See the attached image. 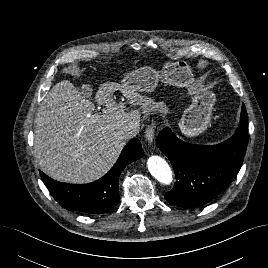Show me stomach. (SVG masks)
I'll return each instance as SVG.
<instances>
[{
  "mask_svg": "<svg viewBox=\"0 0 268 268\" xmlns=\"http://www.w3.org/2000/svg\"><path fill=\"white\" fill-rule=\"evenodd\" d=\"M160 79L166 85L186 88L191 97L192 104L183 111L179 121L182 133L194 137L205 131L210 124L215 95L210 91L196 90L192 68L186 61L167 62L161 72L150 66L135 69L123 77L120 88L135 92H152Z\"/></svg>",
  "mask_w": 268,
  "mask_h": 268,
  "instance_id": "1",
  "label": "stomach"
}]
</instances>
